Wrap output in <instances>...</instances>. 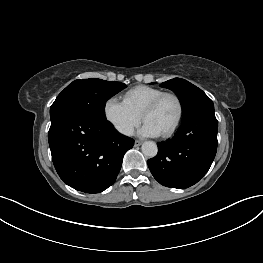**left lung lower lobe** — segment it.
<instances>
[{"mask_svg": "<svg viewBox=\"0 0 263 263\" xmlns=\"http://www.w3.org/2000/svg\"><path fill=\"white\" fill-rule=\"evenodd\" d=\"M218 122L214 112L184 122L175 136L158 143V153L147 161L154 178L170 188L197 183L209 170L217 151Z\"/></svg>", "mask_w": 263, "mask_h": 263, "instance_id": "left-lung-lower-lobe-1", "label": "left lung lower lobe"}]
</instances>
